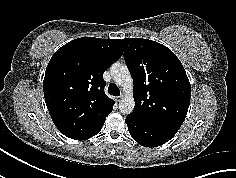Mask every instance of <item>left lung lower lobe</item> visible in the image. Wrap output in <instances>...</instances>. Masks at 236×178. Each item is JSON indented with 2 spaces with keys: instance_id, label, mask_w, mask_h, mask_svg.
<instances>
[{
  "instance_id": "obj_1",
  "label": "left lung lower lobe",
  "mask_w": 236,
  "mask_h": 178,
  "mask_svg": "<svg viewBox=\"0 0 236 178\" xmlns=\"http://www.w3.org/2000/svg\"><path fill=\"white\" fill-rule=\"evenodd\" d=\"M125 122L132 138L142 146L157 147L169 141L178 130L127 116Z\"/></svg>"
}]
</instances>
